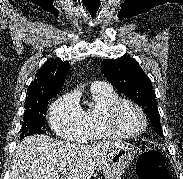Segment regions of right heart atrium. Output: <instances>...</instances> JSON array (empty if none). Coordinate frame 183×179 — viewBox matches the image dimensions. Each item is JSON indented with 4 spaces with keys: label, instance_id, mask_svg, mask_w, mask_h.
Instances as JSON below:
<instances>
[{
    "label": "right heart atrium",
    "instance_id": "d8ad5b80",
    "mask_svg": "<svg viewBox=\"0 0 183 179\" xmlns=\"http://www.w3.org/2000/svg\"><path fill=\"white\" fill-rule=\"evenodd\" d=\"M50 124L63 139L79 141L85 137L87 127L84 110L75 94L67 93L52 104Z\"/></svg>",
    "mask_w": 183,
    "mask_h": 179
}]
</instances>
